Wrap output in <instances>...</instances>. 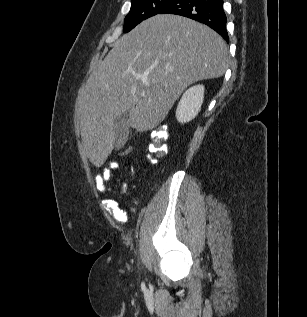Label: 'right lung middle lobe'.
Returning <instances> with one entry per match:
<instances>
[{
    "label": "right lung middle lobe",
    "mask_w": 307,
    "mask_h": 317,
    "mask_svg": "<svg viewBox=\"0 0 307 317\" xmlns=\"http://www.w3.org/2000/svg\"><path fill=\"white\" fill-rule=\"evenodd\" d=\"M172 0H131L130 12L124 21V32H128L143 20L159 14Z\"/></svg>",
    "instance_id": "dd1d6c3e"
}]
</instances>
